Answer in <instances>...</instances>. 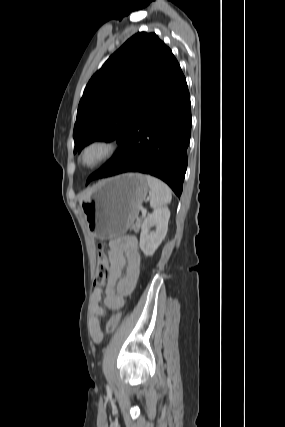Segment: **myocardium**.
<instances>
[{"label": "myocardium", "instance_id": "myocardium-1", "mask_svg": "<svg viewBox=\"0 0 285 427\" xmlns=\"http://www.w3.org/2000/svg\"><path fill=\"white\" fill-rule=\"evenodd\" d=\"M94 149L100 150L99 156L95 160L88 162L87 156ZM117 149L118 144L116 141L106 137L95 138L81 148L78 155V164L85 170L100 168L115 156Z\"/></svg>", "mask_w": 285, "mask_h": 427}]
</instances>
